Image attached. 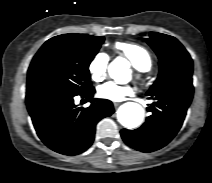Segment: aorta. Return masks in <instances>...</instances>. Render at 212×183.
<instances>
[{
  "label": "aorta",
  "instance_id": "762f6f07",
  "mask_svg": "<svg viewBox=\"0 0 212 183\" xmlns=\"http://www.w3.org/2000/svg\"><path fill=\"white\" fill-rule=\"evenodd\" d=\"M128 68V63L123 58L115 59L109 66V74L116 77V69ZM118 121L126 128L132 129L141 125L144 119V110L141 105L134 102L123 104L117 112Z\"/></svg>",
  "mask_w": 212,
  "mask_h": 183
}]
</instances>
